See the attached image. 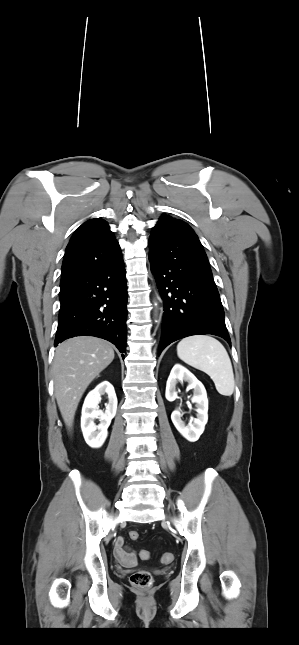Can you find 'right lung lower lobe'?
Wrapping results in <instances>:
<instances>
[{"label":"right lung lower lobe","mask_w":299,"mask_h":645,"mask_svg":"<svg viewBox=\"0 0 299 645\" xmlns=\"http://www.w3.org/2000/svg\"><path fill=\"white\" fill-rule=\"evenodd\" d=\"M59 298L55 345L74 336H95L125 352L127 284L122 255L77 277L61 288Z\"/></svg>","instance_id":"98d812e1"}]
</instances>
